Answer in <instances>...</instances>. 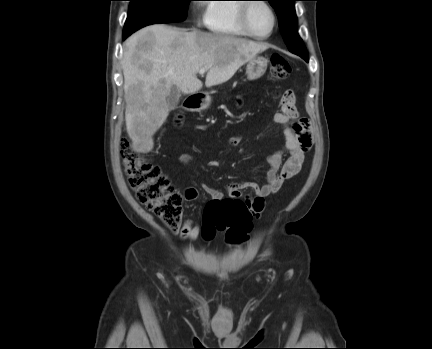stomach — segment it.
I'll return each instance as SVG.
<instances>
[{
	"label": "stomach",
	"instance_id": "0dacf381",
	"mask_svg": "<svg viewBox=\"0 0 432 349\" xmlns=\"http://www.w3.org/2000/svg\"><path fill=\"white\" fill-rule=\"evenodd\" d=\"M268 65V59L263 56H255L251 60L248 61L246 66V74L249 80H255L260 78L266 72ZM211 104V97L206 96L202 99V103L200 105L201 110L207 109Z\"/></svg>",
	"mask_w": 432,
	"mask_h": 349
}]
</instances>
